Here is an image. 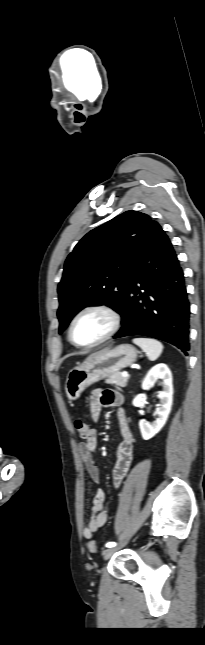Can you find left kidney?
<instances>
[{
  "label": "left kidney",
  "mask_w": 205,
  "mask_h": 645,
  "mask_svg": "<svg viewBox=\"0 0 205 645\" xmlns=\"http://www.w3.org/2000/svg\"><path fill=\"white\" fill-rule=\"evenodd\" d=\"M157 379H161L163 384V390L158 394L160 405L155 412L157 418L152 423L144 419L139 421L141 435L144 440L151 439L162 429L168 419L173 403L172 374L166 364L159 363L150 369L142 382V389L148 390Z\"/></svg>",
  "instance_id": "5707ae66"
}]
</instances>
